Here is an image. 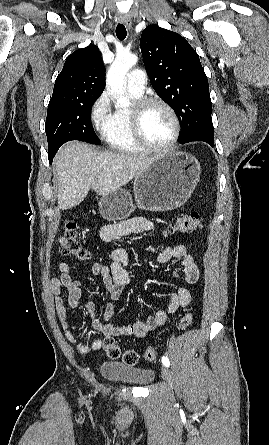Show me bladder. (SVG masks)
Masks as SVG:
<instances>
[{"label":"bladder","mask_w":269,"mask_h":445,"mask_svg":"<svg viewBox=\"0 0 269 445\" xmlns=\"http://www.w3.org/2000/svg\"><path fill=\"white\" fill-rule=\"evenodd\" d=\"M100 374L110 381L141 387L154 379L151 369L134 368L115 360L104 361L100 366Z\"/></svg>","instance_id":"1"}]
</instances>
